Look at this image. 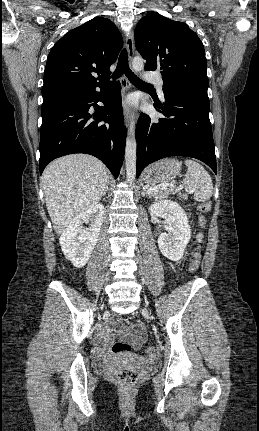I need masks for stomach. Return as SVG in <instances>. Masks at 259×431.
Wrapping results in <instances>:
<instances>
[{
  "mask_svg": "<svg viewBox=\"0 0 259 431\" xmlns=\"http://www.w3.org/2000/svg\"><path fill=\"white\" fill-rule=\"evenodd\" d=\"M181 162L174 158H166L150 165L144 172L145 183L154 186L167 183L180 173Z\"/></svg>",
  "mask_w": 259,
  "mask_h": 431,
  "instance_id": "0dacf381",
  "label": "stomach"
}]
</instances>
